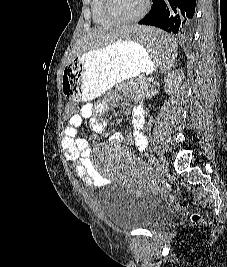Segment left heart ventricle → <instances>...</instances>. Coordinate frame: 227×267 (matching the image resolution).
Returning <instances> with one entry per match:
<instances>
[{
	"mask_svg": "<svg viewBox=\"0 0 227 267\" xmlns=\"http://www.w3.org/2000/svg\"><path fill=\"white\" fill-rule=\"evenodd\" d=\"M143 2L144 0H112L111 9L117 16L128 18L140 12Z\"/></svg>",
	"mask_w": 227,
	"mask_h": 267,
	"instance_id": "left-heart-ventricle-1",
	"label": "left heart ventricle"
}]
</instances>
